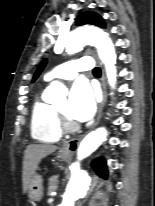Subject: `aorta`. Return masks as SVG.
Listing matches in <instances>:
<instances>
[{
	"mask_svg": "<svg viewBox=\"0 0 155 206\" xmlns=\"http://www.w3.org/2000/svg\"><path fill=\"white\" fill-rule=\"evenodd\" d=\"M85 45L95 46L100 60L104 63L109 85L113 88L117 81L116 54L109 35L95 27H79L72 31L66 41V52L74 54ZM62 84L54 81L46 90V98L55 102L59 96ZM107 139V130L103 127L89 133L80 143L77 150V162L72 164L71 178L67 184L59 206H75L78 199L85 196L90 178L85 171L80 170V161L93 153Z\"/></svg>",
	"mask_w": 155,
	"mask_h": 206,
	"instance_id": "762f6f07",
	"label": "aorta"
}]
</instances>
